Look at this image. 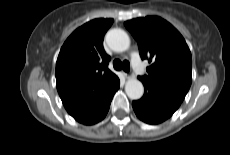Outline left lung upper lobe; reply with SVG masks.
<instances>
[{
    "mask_svg": "<svg viewBox=\"0 0 230 155\" xmlns=\"http://www.w3.org/2000/svg\"><path fill=\"white\" fill-rule=\"evenodd\" d=\"M138 42L142 59H148V75L139 77L165 94L182 102L192 82L191 52L182 35L157 16L125 22Z\"/></svg>",
    "mask_w": 230,
    "mask_h": 155,
    "instance_id": "5c2ea615",
    "label": "left lung upper lobe"
}]
</instances>
